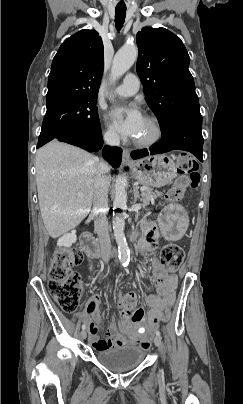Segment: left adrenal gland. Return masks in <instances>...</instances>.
<instances>
[{
	"label": "left adrenal gland",
	"instance_id": "a2214340",
	"mask_svg": "<svg viewBox=\"0 0 243 404\" xmlns=\"http://www.w3.org/2000/svg\"><path fill=\"white\" fill-rule=\"evenodd\" d=\"M133 194H134V202H137L138 198H140L139 190H138L137 186H135V188L133 190Z\"/></svg>",
	"mask_w": 243,
	"mask_h": 404
}]
</instances>
